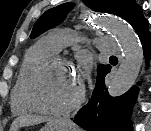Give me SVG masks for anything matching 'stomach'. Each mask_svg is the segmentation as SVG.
Wrapping results in <instances>:
<instances>
[{
	"mask_svg": "<svg viewBox=\"0 0 151 131\" xmlns=\"http://www.w3.org/2000/svg\"><path fill=\"white\" fill-rule=\"evenodd\" d=\"M40 131H77V128L68 120H54L47 123Z\"/></svg>",
	"mask_w": 151,
	"mask_h": 131,
	"instance_id": "obj_1",
	"label": "stomach"
}]
</instances>
